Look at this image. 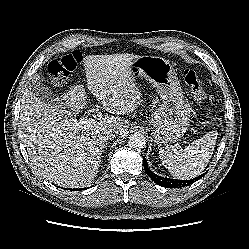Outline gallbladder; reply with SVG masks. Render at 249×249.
I'll use <instances>...</instances> for the list:
<instances>
[{
    "label": "gallbladder",
    "mask_w": 249,
    "mask_h": 249,
    "mask_svg": "<svg viewBox=\"0 0 249 249\" xmlns=\"http://www.w3.org/2000/svg\"><path fill=\"white\" fill-rule=\"evenodd\" d=\"M29 91L41 101L45 102L48 105L63 109L65 108L64 102L56 97L51 89L45 84L38 81H32L28 86Z\"/></svg>",
    "instance_id": "obj_1"
}]
</instances>
